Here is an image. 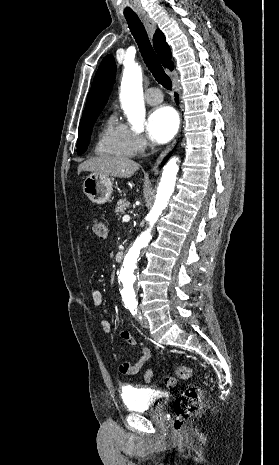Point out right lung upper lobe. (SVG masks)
Here are the masks:
<instances>
[{"mask_svg": "<svg viewBox=\"0 0 279 465\" xmlns=\"http://www.w3.org/2000/svg\"><path fill=\"white\" fill-rule=\"evenodd\" d=\"M153 43L160 62L164 67L173 70L174 64L171 61V51L166 43L164 34L160 30H156ZM115 76L116 65L113 56L107 55L101 62L94 77L79 127L88 125L99 116L108 101L112 86L115 82Z\"/></svg>", "mask_w": 279, "mask_h": 465, "instance_id": "1", "label": "right lung upper lobe"}]
</instances>
